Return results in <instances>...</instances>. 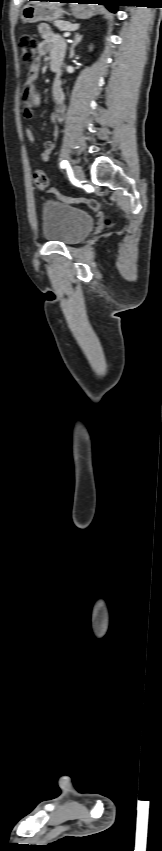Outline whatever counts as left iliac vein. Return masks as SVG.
Instances as JSON below:
<instances>
[{"mask_svg": "<svg viewBox=\"0 0 162 851\" xmlns=\"http://www.w3.org/2000/svg\"><path fill=\"white\" fill-rule=\"evenodd\" d=\"M74 175L79 182H83L85 179L84 171L79 165L74 166Z\"/></svg>", "mask_w": 162, "mask_h": 851, "instance_id": "4c4485c4", "label": "left iliac vein"}]
</instances>
